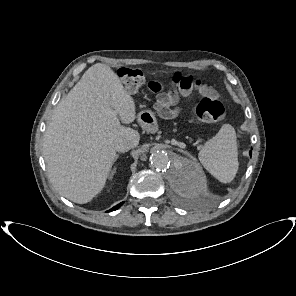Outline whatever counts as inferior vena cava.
Instances as JSON below:
<instances>
[{"mask_svg": "<svg viewBox=\"0 0 296 296\" xmlns=\"http://www.w3.org/2000/svg\"><path fill=\"white\" fill-rule=\"evenodd\" d=\"M134 145L131 141L123 139L116 143L115 149L118 152H127L131 148H133Z\"/></svg>", "mask_w": 296, "mask_h": 296, "instance_id": "602c4592", "label": "inferior vena cava"}]
</instances>
